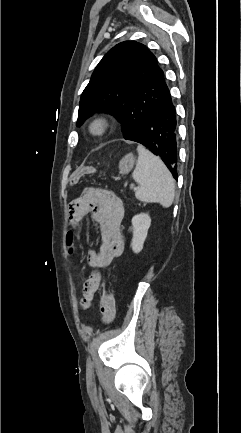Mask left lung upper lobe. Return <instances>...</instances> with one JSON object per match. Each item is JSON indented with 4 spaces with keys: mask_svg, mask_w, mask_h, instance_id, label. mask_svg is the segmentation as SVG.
Returning <instances> with one entry per match:
<instances>
[{
    "mask_svg": "<svg viewBox=\"0 0 241 433\" xmlns=\"http://www.w3.org/2000/svg\"><path fill=\"white\" fill-rule=\"evenodd\" d=\"M166 90L154 54L138 42L119 43L96 66L81 95L76 125L94 112L109 111L123 123L125 138L144 122Z\"/></svg>",
    "mask_w": 241,
    "mask_h": 433,
    "instance_id": "1",
    "label": "left lung upper lobe"
}]
</instances>
